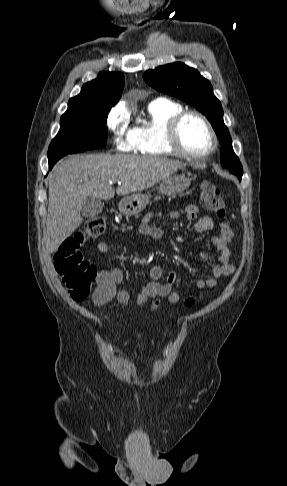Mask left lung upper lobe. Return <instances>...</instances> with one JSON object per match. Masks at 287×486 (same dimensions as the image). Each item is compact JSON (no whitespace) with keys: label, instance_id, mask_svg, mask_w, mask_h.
I'll return each instance as SVG.
<instances>
[{"label":"left lung upper lobe","instance_id":"left-lung-upper-lobe-1","mask_svg":"<svg viewBox=\"0 0 287 486\" xmlns=\"http://www.w3.org/2000/svg\"><path fill=\"white\" fill-rule=\"evenodd\" d=\"M143 78L156 90L187 102L207 117L222 145L221 165L241 180L242 165L233 151L232 140L223 121V109L211 83L197 70L180 62L148 70Z\"/></svg>","mask_w":287,"mask_h":486}]
</instances>
